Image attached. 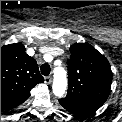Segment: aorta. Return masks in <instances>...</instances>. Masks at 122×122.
Masks as SVG:
<instances>
[{"label": "aorta", "instance_id": "1", "mask_svg": "<svg viewBox=\"0 0 122 122\" xmlns=\"http://www.w3.org/2000/svg\"><path fill=\"white\" fill-rule=\"evenodd\" d=\"M54 73L55 75L52 86L53 93L56 96L61 97L67 90V74L62 67H57Z\"/></svg>", "mask_w": 122, "mask_h": 122}]
</instances>
